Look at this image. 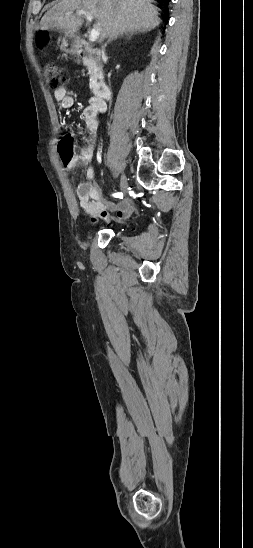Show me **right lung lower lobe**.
<instances>
[{"instance_id":"1","label":"right lung lower lobe","mask_w":253,"mask_h":548,"mask_svg":"<svg viewBox=\"0 0 253 548\" xmlns=\"http://www.w3.org/2000/svg\"><path fill=\"white\" fill-rule=\"evenodd\" d=\"M161 5L165 6V8H167V5L169 3L170 0H157ZM166 21L168 20V18L165 19Z\"/></svg>"}]
</instances>
